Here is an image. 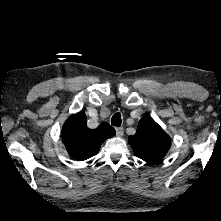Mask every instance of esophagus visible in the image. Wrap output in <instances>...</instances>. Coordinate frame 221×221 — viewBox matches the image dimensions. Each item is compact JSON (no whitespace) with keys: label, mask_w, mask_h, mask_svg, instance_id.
Masks as SVG:
<instances>
[{"label":"esophagus","mask_w":221,"mask_h":221,"mask_svg":"<svg viewBox=\"0 0 221 221\" xmlns=\"http://www.w3.org/2000/svg\"><path fill=\"white\" fill-rule=\"evenodd\" d=\"M124 134L123 128L122 127H116V135L118 137H122Z\"/></svg>","instance_id":"obj_1"}]
</instances>
